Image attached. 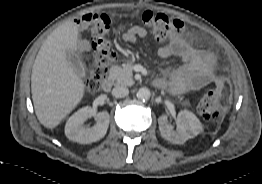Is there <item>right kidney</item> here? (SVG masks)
Listing matches in <instances>:
<instances>
[{
  "label": "right kidney",
  "instance_id": "ca27d5eb",
  "mask_svg": "<svg viewBox=\"0 0 262 184\" xmlns=\"http://www.w3.org/2000/svg\"><path fill=\"white\" fill-rule=\"evenodd\" d=\"M93 116L96 118V124L91 128L85 127L83 123ZM109 119L110 116L107 111L95 115L91 107H83L68 119L65 126V135L69 140L80 144L96 142L105 136L109 126Z\"/></svg>",
  "mask_w": 262,
  "mask_h": 184
}]
</instances>
